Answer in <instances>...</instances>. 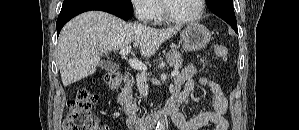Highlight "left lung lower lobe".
Segmentation results:
<instances>
[{"label": "left lung lower lobe", "instance_id": "1", "mask_svg": "<svg viewBox=\"0 0 299 130\" xmlns=\"http://www.w3.org/2000/svg\"><path fill=\"white\" fill-rule=\"evenodd\" d=\"M207 5L211 12L226 21L238 33L232 0H210Z\"/></svg>", "mask_w": 299, "mask_h": 130}]
</instances>
